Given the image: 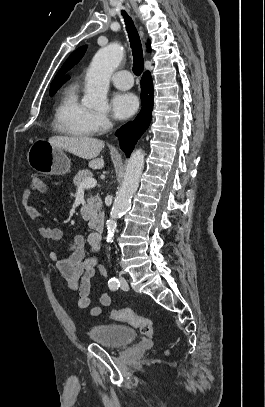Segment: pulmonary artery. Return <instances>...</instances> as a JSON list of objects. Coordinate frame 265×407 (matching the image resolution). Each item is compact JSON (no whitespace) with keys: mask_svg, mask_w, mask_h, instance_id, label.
Returning <instances> with one entry per match:
<instances>
[{"mask_svg":"<svg viewBox=\"0 0 265 407\" xmlns=\"http://www.w3.org/2000/svg\"><path fill=\"white\" fill-rule=\"evenodd\" d=\"M112 83L118 89L126 90L132 87L133 78L128 70H119L112 75Z\"/></svg>","mask_w":265,"mask_h":407,"instance_id":"e3ab8cb5","label":"pulmonary artery"}]
</instances>
